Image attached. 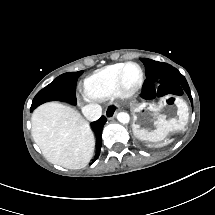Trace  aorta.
I'll return each instance as SVG.
<instances>
[{
  "mask_svg": "<svg viewBox=\"0 0 215 215\" xmlns=\"http://www.w3.org/2000/svg\"><path fill=\"white\" fill-rule=\"evenodd\" d=\"M116 118L119 122L126 123L129 121V114L127 112L121 111L116 114Z\"/></svg>",
  "mask_w": 215,
  "mask_h": 215,
  "instance_id": "aorta-1",
  "label": "aorta"
}]
</instances>
